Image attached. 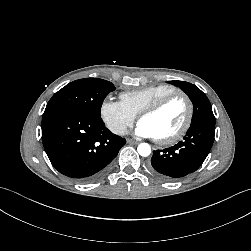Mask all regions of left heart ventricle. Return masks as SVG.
Returning a JSON list of instances; mask_svg holds the SVG:
<instances>
[{
	"mask_svg": "<svg viewBox=\"0 0 251 251\" xmlns=\"http://www.w3.org/2000/svg\"><path fill=\"white\" fill-rule=\"evenodd\" d=\"M187 114V105L178 97L167 104L158 113L145 117L140 122L147 125L156 138H165L177 132L183 125Z\"/></svg>",
	"mask_w": 251,
	"mask_h": 251,
	"instance_id": "left-heart-ventricle-1",
	"label": "left heart ventricle"
}]
</instances>
